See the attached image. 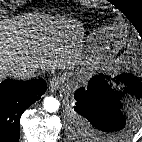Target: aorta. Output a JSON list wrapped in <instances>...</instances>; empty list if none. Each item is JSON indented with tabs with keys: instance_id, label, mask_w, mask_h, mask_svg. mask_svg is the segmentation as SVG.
Listing matches in <instances>:
<instances>
[{
	"instance_id": "aorta-1",
	"label": "aorta",
	"mask_w": 142,
	"mask_h": 142,
	"mask_svg": "<svg viewBox=\"0 0 142 142\" xmlns=\"http://www.w3.org/2000/svg\"><path fill=\"white\" fill-rule=\"evenodd\" d=\"M59 105H60L59 101L53 97H47L43 101L44 110L49 113H54L58 111Z\"/></svg>"
}]
</instances>
